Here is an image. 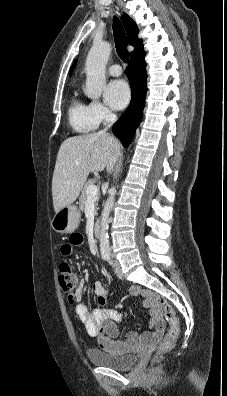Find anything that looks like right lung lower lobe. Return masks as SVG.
<instances>
[{
  "instance_id": "1",
  "label": "right lung lower lobe",
  "mask_w": 227,
  "mask_h": 396,
  "mask_svg": "<svg viewBox=\"0 0 227 396\" xmlns=\"http://www.w3.org/2000/svg\"><path fill=\"white\" fill-rule=\"evenodd\" d=\"M144 57L145 51L143 47L130 55V63L126 69V75L131 86V102L125 113L112 128L113 133L120 139L124 147L130 144L142 118L147 92V73Z\"/></svg>"
}]
</instances>
